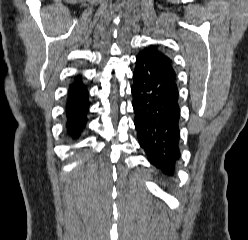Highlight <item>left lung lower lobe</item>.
Returning a JSON list of instances; mask_svg holds the SVG:
<instances>
[{"label":"left lung lower lobe","mask_w":248,"mask_h":240,"mask_svg":"<svg viewBox=\"0 0 248 240\" xmlns=\"http://www.w3.org/2000/svg\"><path fill=\"white\" fill-rule=\"evenodd\" d=\"M132 86L134 124L148 160L173 173L180 158L179 91L172 78L143 54L136 57Z\"/></svg>","instance_id":"1"}]
</instances>
